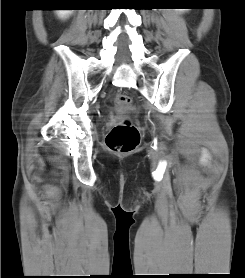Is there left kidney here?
I'll return each instance as SVG.
<instances>
[{
	"label": "left kidney",
	"instance_id": "5707ae66",
	"mask_svg": "<svg viewBox=\"0 0 245 278\" xmlns=\"http://www.w3.org/2000/svg\"><path fill=\"white\" fill-rule=\"evenodd\" d=\"M179 11H188L189 9H178Z\"/></svg>",
	"mask_w": 245,
	"mask_h": 278
}]
</instances>
